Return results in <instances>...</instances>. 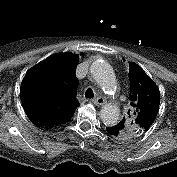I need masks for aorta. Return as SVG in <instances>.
Instances as JSON below:
<instances>
[{"label":"aorta","instance_id":"aorta-1","mask_svg":"<svg viewBox=\"0 0 177 177\" xmlns=\"http://www.w3.org/2000/svg\"><path fill=\"white\" fill-rule=\"evenodd\" d=\"M90 72L95 82L105 93L116 90V78L111 65L104 60L92 63ZM120 110L112 104L104 105L100 110V118L105 125L113 126L119 120Z\"/></svg>","mask_w":177,"mask_h":177}]
</instances>
